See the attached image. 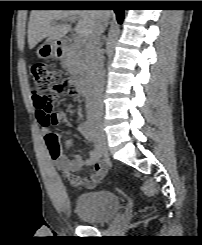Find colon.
I'll return each mask as SVG.
<instances>
[{
	"label": "colon",
	"mask_w": 202,
	"mask_h": 245,
	"mask_svg": "<svg viewBox=\"0 0 202 245\" xmlns=\"http://www.w3.org/2000/svg\"><path fill=\"white\" fill-rule=\"evenodd\" d=\"M29 76L33 83L32 99L39 121L51 126L56 123V117L53 110L54 99L50 92L71 96H74L76 92L73 86L64 79L60 70L47 68L43 63L32 64ZM48 149L51 156H57L60 145L54 140Z\"/></svg>",
	"instance_id": "1"
}]
</instances>
